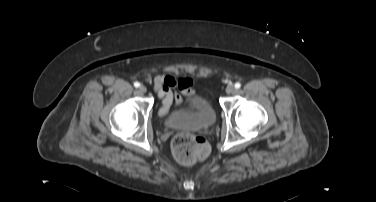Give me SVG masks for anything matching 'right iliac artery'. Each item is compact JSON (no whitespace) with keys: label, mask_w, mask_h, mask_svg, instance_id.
I'll use <instances>...</instances> for the list:
<instances>
[{"label":"right iliac artery","mask_w":376,"mask_h":202,"mask_svg":"<svg viewBox=\"0 0 376 202\" xmlns=\"http://www.w3.org/2000/svg\"><path fill=\"white\" fill-rule=\"evenodd\" d=\"M134 86H135L136 88H138V87L140 86L139 82H135V83H134Z\"/></svg>","instance_id":"82829eb1"}]
</instances>
